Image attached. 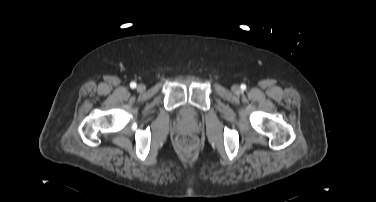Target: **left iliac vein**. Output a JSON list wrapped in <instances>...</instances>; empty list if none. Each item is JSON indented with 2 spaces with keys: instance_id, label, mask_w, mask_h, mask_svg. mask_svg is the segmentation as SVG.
<instances>
[{
  "instance_id": "obj_1",
  "label": "left iliac vein",
  "mask_w": 376,
  "mask_h": 202,
  "mask_svg": "<svg viewBox=\"0 0 376 202\" xmlns=\"http://www.w3.org/2000/svg\"><path fill=\"white\" fill-rule=\"evenodd\" d=\"M232 91L236 94L240 93L241 89L238 85H233L232 86Z\"/></svg>"
}]
</instances>
